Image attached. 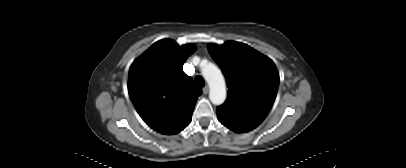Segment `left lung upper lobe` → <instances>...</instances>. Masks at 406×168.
I'll return each mask as SVG.
<instances>
[{"label": "left lung upper lobe", "instance_id": "left-lung-upper-lobe-1", "mask_svg": "<svg viewBox=\"0 0 406 168\" xmlns=\"http://www.w3.org/2000/svg\"><path fill=\"white\" fill-rule=\"evenodd\" d=\"M228 87V97L220 110L262 122L276 98L279 74L273 61L250 46L229 41L208 44Z\"/></svg>", "mask_w": 406, "mask_h": 168}]
</instances>
